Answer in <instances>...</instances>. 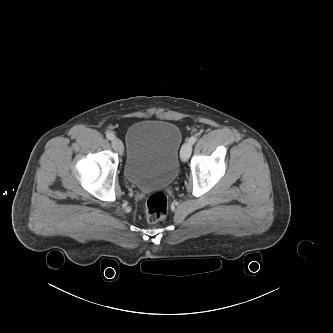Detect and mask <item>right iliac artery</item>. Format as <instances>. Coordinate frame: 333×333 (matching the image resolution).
<instances>
[{
    "mask_svg": "<svg viewBox=\"0 0 333 333\" xmlns=\"http://www.w3.org/2000/svg\"><path fill=\"white\" fill-rule=\"evenodd\" d=\"M106 137L109 139V140H113L115 138L114 134L113 133H107L106 134Z\"/></svg>",
    "mask_w": 333,
    "mask_h": 333,
    "instance_id": "1",
    "label": "right iliac artery"
}]
</instances>
